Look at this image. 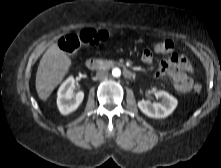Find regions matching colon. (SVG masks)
Listing matches in <instances>:
<instances>
[{"instance_id":"5ec220e1","label":"colon","mask_w":221,"mask_h":168,"mask_svg":"<svg viewBox=\"0 0 221 168\" xmlns=\"http://www.w3.org/2000/svg\"><path fill=\"white\" fill-rule=\"evenodd\" d=\"M108 37L104 30L86 29L79 35H66L59 40V47L68 53H74L79 49L81 44L96 45ZM154 50L159 53H170L172 45L168 41L154 42ZM185 59V58H184ZM186 64V63H185ZM202 87L200 84L194 86V91L200 93Z\"/></svg>"}]
</instances>
